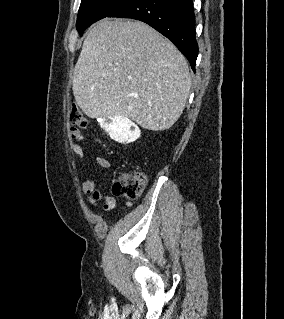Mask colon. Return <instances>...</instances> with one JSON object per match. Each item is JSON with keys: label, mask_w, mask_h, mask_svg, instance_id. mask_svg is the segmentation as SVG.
Returning <instances> with one entry per match:
<instances>
[{"label": "colon", "mask_w": 284, "mask_h": 319, "mask_svg": "<svg viewBox=\"0 0 284 319\" xmlns=\"http://www.w3.org/2000/svg\"><path fill=\"white\" fill-rule=\"evenodd\" d=\"M69 116L70 122L79 128H85L88 125L83 113L75 106L71 108ZM145 184L146 178L142 172L121 173L115 179L112 191L117 196L134 200L141 196Z\"/></svg>", "instance_id": "colon-1"}]
</instances>
